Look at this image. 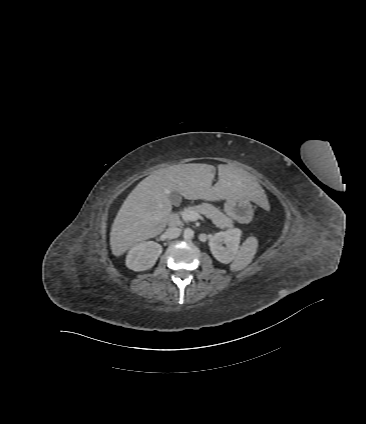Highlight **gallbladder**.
Returning a JSON list of instances; mask_svg holds the SVG:
<instances>
[{"label": "gallbladder", "mask_w": 366, "mask_h": 424, "mask_svg": "<svg viewBox=\"0 0 366 424\" xmlns=\"http://www.w3.org/2000/svg\"><path fill=\"white\" fill-rule=\"evenodd\" d=\"M181 196L177 191H172L170 195V201L172 204L177 205L180 203Z\"/></svg>", "instance_id": "gallbladder-1"}]
</instances>
